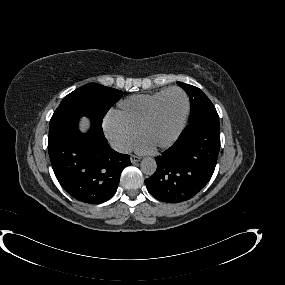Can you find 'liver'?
I'll return each mask as SVG.
<instances>
[{
	"label": "liver",
	"mask_w": 285,
	"mask_h": 285,
	"mask_svg": "<svg viewBox=\"0 0 285 285\" xmlns=\"http://www.w3.org/2000/svg\"><path fill=\"white\" fill-rule=\"evenodd\" d=\"M81 129L82 131H86L88 129V122L84 119L81 122Z\"/></svg>",
	"instance_id": "obj_1"
}]
</instances>
